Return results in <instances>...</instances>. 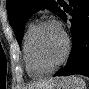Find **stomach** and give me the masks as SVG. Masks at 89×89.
Here are the masks:
<instances>
[{"instance_id": "obj_1", "label": "stomach", "mask_w": 89, "mask_h": 89, "mask_svg": "<svg viewBox=\"0 0 89 89\" xmlns=\"http://www.w3.org/2000/svg\"><path fill=\"white\" fill-rule=\"evenodd\" d=\"M49 89H74L68 82L66 78L59 79L58 82H56L53 87Z\"/></svg>"}]
</instances>
